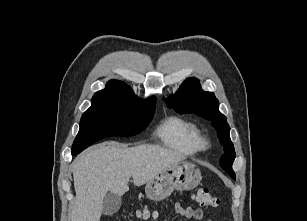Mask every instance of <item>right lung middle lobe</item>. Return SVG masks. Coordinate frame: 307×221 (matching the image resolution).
<instances>
[{
  "label": "right lung middle lobe",
  "instance_id": "1",
  "mask_svg": "<svg viewBox=\"0 0 307 221\" xmlns=\"http://www.w3.org/2000/svg\"><path fill=\"white\" fill-rule=\"evenodd\" d=\"M155 102H93L83 113L79 132L73 142L72 155H77L98 140L110 136L138 134L152 119Z\"/></svg>",
  "mask_w": 307,
  "mask_h": 221
}]
</instances>
